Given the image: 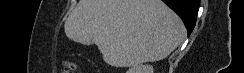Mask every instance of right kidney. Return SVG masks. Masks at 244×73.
Listing matches in <instances>:
<instances>
[{
	"label": "right kidney",
	"instance_id": "obj_1",
	"mask_svg": "<svg viewBox=\"0 0 244 73\" xmlns=\"http://www.w3.org/2000/svg\"><path fill=\"white\" fill-rule=\"evenodd\" d=\"M153 67L151 65H135L131 67L127 73H153Z\"/></svg>",
	"mask_w": 244,
	"mask_h": 73
}]
</instances>
